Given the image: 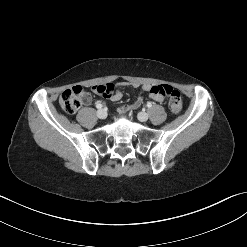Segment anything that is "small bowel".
<instances>
[{
    "mask_svg": "<svg viewBox=\"0 0 247 247\" xmlns=\"http://www.w3.org/2000/svg\"><path fill=\"white\" fill-rule=\"evenodd\" d=\"M123 86H131V87H134V88L140 87L142 89V91H144V92H146L148 94V97H149V90L151 89V87H153L155 85L139 84L137 82L114 83V84L110 83L108 91L105 94H102V96H104L105 98L110 99L111 101H119L122 98V95H123V93H122V87ZM90 102H91V97H90V95L87 94L86 99H85V103L89 104ZM124 108H125V105L122 106V109H118V111L119 112H125Z\"/></svg>",
    "mask_w": 247,
    "mask_h": 247,
    "instance_id": "1",
    "label": "small bowel"
}]
</instances>
